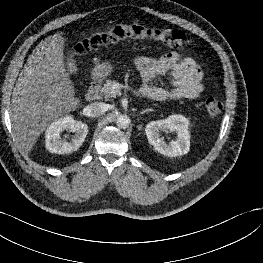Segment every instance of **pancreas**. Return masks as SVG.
I'll return each mask as SVG.
<instances>
[{
    "label": "pancreas",
    "mask_w": 263,
    "mask_h": 263,
    "mask_svg": "<svg viewBox=\"0 0 263 263\" xmlns=\"http://www.w3.org/2000/svg\"><path fill=\"white\" fill-rule=\"evenodd\" d=\"M116 83V81L110 79L106 80V82L103 84V87L100 88V95L103 96L105 99L115 98L116 92L113 91V86Z\"/></svg>",
    "instance_id": "pancreas-1"
}]
</instances>
